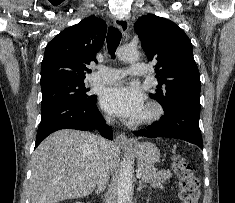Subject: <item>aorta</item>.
<instances>
[{"label":"aorta","instance_id":"762f6f07","mask_svg":"<svg viewBox=\"0 0 235 203\" xmlns=\"http://www.w3.org/2000/svg\"><path fill=\"white\" fill-rule=\"evenodd\" d=\"M117 56L123 62H135L139 59V52L136 48L123 46L117 50ZM131 191L132 164L124 160L117 181V203H129Z\"/></svg>","mask_w":235,"mask_h":203}]
</instances>
